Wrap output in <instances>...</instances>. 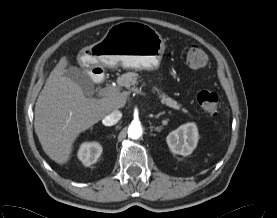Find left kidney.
Instances as JSON below:
<instances>
[{"mask_svg": "<svg viewBox=\"0 0 277 218\" xmlns=\"http://www.w3.org/2000/svg\"><path fill=\"white\" fill-rule=\"evenodd\" d=\"M198 129L195 123L189 122L170 132L166 138L170 150L182 156L190 155L198 143Z\"/></svg>", "mask_w": 277, "mask_h": 218, "instance_id": "1", "label": "left kidney"}]
</instances>
